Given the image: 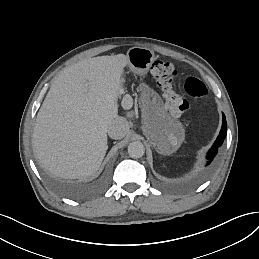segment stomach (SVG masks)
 Returning a JSON list of instances; mask_svg holds the SVG:
<instances>
[{
  "instance_id": "0dacf381",
  "label": "stomach",
  "mask_w": 259,
  "mask_h": 259,
  "mask_svg": "<svg viewBox=\"0 0 259 259\" xmlns=\"http://www.w3.org/2000/svg\"><path fill=\"white\" fill-rule=\"evenodd\" d=\"M130 69L138 75L146 74L155 60L154 52L149 48L133 47L127 52Z\"/></svg>"
}]
</instances>
